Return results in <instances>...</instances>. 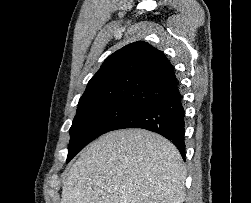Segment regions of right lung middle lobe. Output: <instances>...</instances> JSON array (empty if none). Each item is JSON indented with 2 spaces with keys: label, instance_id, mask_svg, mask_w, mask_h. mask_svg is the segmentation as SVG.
<instances>
[{
  "label": "right lung middle lobe",
  "instance_id": "right-lung-middle-lobe-1",
  "mask_svg": "<svg viewBox=\"0 0 251 203\" xmlns=\"http://www.w3.org/2000/svg\"><path fill=\"white\" fill-rule=\"evenodd\" d=\"M139 109H141L139 106L120 103L78 105L69 131L71 138L66 162H69L88 143L114 130L116 125Z\"/></svg>",
  "mask_w": 251,
  "mask_h": 203
}]
</instances>
